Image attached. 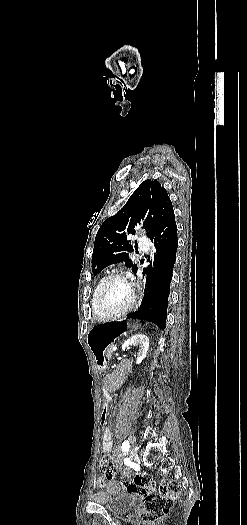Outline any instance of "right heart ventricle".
I'll list each match as a JSON object with an SVG mask.
<instances>
[{
  "instance_id": "e07e8e85",
  "label": "right heart ventricle",
  "mask_w": 247,
  "mask_h": 525,
  "mask_svg": "<svg viewBox=\"0 0 247 525\" xmlns=\"http://www.w3.org/2000/svg\"><path fill=\"white\" fill-rule=\"evenodd\" d=\"M103 279V278H102ZM101 279V280H102ZM90 304H91V308H92V313H93V317H110L108 315H105L103 314L102 312H100L98 309H97V305L99 304V299L96 300V298L94 297V292L93 294L91 295V298H90Z\"/></svg>"
}]
</instances>
